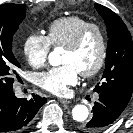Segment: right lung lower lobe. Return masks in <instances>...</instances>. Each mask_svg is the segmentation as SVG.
I'll return each instance as SVG.
<instances>
[{"mask_svg": "<svg viewBox=\"0 0 133 133\" xmlns=\"http://www.w3.org/2000/svg\"><path fill=\"white\" fill-rule=\"evenodd\" d=\"M46 101V98L34 94L30 100L17 98L13 90L1 94L0 132L24 130Z\"/></svg>", "mask_w": 133, "mask_h": 133, "instance_id": "obj_1", "label": "right lung lower lobe"}]
</instances>
